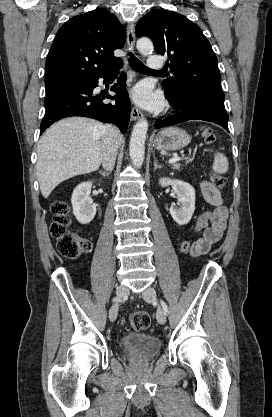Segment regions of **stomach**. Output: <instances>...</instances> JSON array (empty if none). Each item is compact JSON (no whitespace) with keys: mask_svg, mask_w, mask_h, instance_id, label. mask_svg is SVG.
I'll return each instance as SVG.
<instances>
[{"mask_svg":"<svg viewBox=\"0 0 272 417\" xmlns=\"http://www.w3.org/2000/svg\"><path fill=\"white\" fill-rule=\"evenodd\" d=\"M190 141L191 138L184 129L168 127L155 136L153 146L158 150L177 151L187 146Z\"/></svg>","mask_w":272,"mask_h":417,"instance_id":"1","label":"stomach"}]
</instances>
